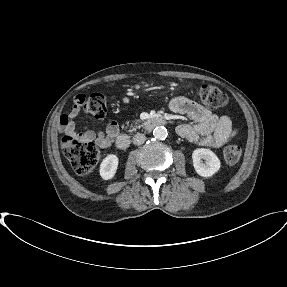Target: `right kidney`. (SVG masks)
<instances>
[{"label": "right kidney", "instance_id": "ca27d5eb", "mask_svg": "<svg viewBox=\"0 0 287 287\" xmlns=\"http://www.w3.org/2000/svg\"><path fill=\"white\" fill-rule=\"evenodd\" d=\"M119 159L114 154H109L107 157L103 159L100 164V176L104 180L112 179L117 171Z\"/></svg>", "mask_w": 287, "mask_h": 287}]
</instances>
